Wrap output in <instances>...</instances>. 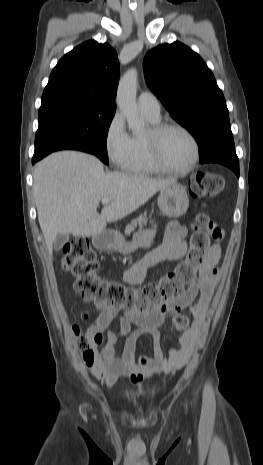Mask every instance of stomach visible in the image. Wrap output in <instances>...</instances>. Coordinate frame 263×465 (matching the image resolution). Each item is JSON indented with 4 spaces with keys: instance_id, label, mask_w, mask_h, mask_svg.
<instances>
[{
    "instance_id": "obj_1",
    "label": "stomach",
    "mask_w": 263,
    "mask_h": 465,
    "mask_svg": "<svg viewBox=\"0 0 263 465\" xmlns=\"http://www.w3.org/2000/svg\"><path fill=\"white\" fill-rule=\"evenodd\" d=\"M160 210L168 217L177 218L184 215L189 207L186 189L180 184H173L161 190L158 199ZM155 229H140L133 235L131 242L118 233L103 232L93 237L95 246L99 249L116 250L123 255L134 252L139 247H149L155 237Z\"/></svg>"
}]
</instances>
